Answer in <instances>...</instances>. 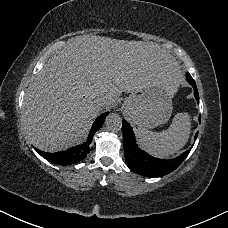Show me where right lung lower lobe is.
I'll list each match as a JSON object with an SVG mask.
<instances>
[{"label": "right lung lower lobe", "mask_w": 228, "mask_h": 228, "mask_svg": "<svg viewBox=\"0 0 228 228\" xmlns=\"http://www.w3.org/2000/svg\"><path fill=\"white\" fill-rule=\"evenodd\" d=\"M108 115V112L100 115L95 122L92 125V128L90 130L89 136L87 138V141L81 145L72 147L66 151H60L58 153H46L41 152L36 149V151L45 159L48 161L58 164V165H69V164H75L82 159H84L87 154L90 152V143L92 142V138L96 131H98L101 126L104 123V120L106 116Z\"/></svg>", "instance_id": "obj_1"}]
</instances>
